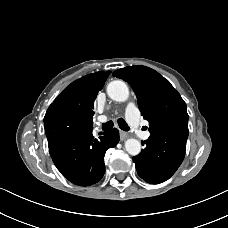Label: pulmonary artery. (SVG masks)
Here are the masks:
<instances>
[{"instance_id":"pulmonary-artery-1","label":"pulmonary artery","mask_w":228,"mask_h":228,"mask_svg":"<svg viewBox=\"0 0 228 228\" xmlns=\"http://www.w3.org/2000/svg\"><path fill=\"white\" fill-rule=\"evenodd\" d=\"M126 117L133 128L135 133L143 140H147L150 137L149 131H142L140 127V113L137 106L134 103H129L126 108Z\"/></svg>"}]
</instances>
